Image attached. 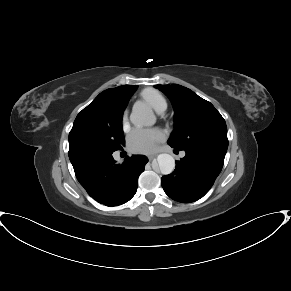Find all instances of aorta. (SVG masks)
Returning a JSON list of instances; mask_svg holds the SVG:
<instances>
[{"label":"aorta","instance_id":"obj_1","mask_svg":"<svg viewBox=\"0 0 291 291\" xmlns=\"http://www.w3.org/2000/svg\"><path fill=\"white\" fill-rule=\"evenodd\" d=\"M130 120L136 126H152L156 122V116L148 105L140 102L133 106ZM157 165L163 175H168L175 168V160L170 154H159Z\"/></svg>","mask_w":291,"mask_h":291}]
</instances>
